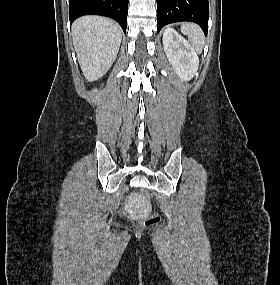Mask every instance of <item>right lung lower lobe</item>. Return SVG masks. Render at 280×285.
Masks as SVG:
<instances>
[{
    "label": "right lung lower lobe",
    "instance_id": "obj_1",
    "mask_svg": "<svg viewBox=\"0 0 280 285\" xmlns=\"http://www.w3.org/2000/svg\"><path fill=\"white\" fill-rule=\"evenodd\" d=\"M129 0H69V20L83 15L96 14L116 20L126 32Z\"/></svg>",
    "mask_w": 280,
    "mask_h": 285
}]
</instances>
